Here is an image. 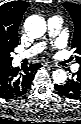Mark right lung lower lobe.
I'll return each mask as SVG.
<instances>
[{
	"label": "right lung lower lobe",
	"mask_w": 81,
	"mask_h": 124,
	"mask_svg": "<svg viewBox=\"0 0 81 124\" xmlns=\"http://www.w3.org/2000/svg\"><path fill=\"white\" fill-rule=\"evenodd\" d=\"M41 64H31L24 69L13 68L11 64L0 67V97L16 99L30 89L35 72Z\"/></svg>",
	"instance_id": "1"
}]
</instances>
